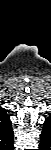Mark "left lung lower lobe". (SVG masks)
<instances>
[{"mask_svg": "<svg viewBox=\"0 0 51 150\" xmlns=\"http://www.w3.org/2000/svg\"><path fill=\"white\" fill-rule=\"evenodd\" d=\"M50 138H51V133L46 135V133H44L42 131L41 133V142H40V146L43 147V146H46L49 142H50Z\"/></svg>", "mask_w": 51, "mask_h": 150, "instance_id": "left-lung-lower-lobe-1", "label": "left lung lower lobe"}]
</instances>
